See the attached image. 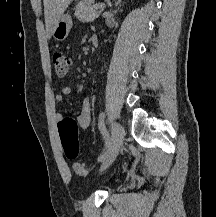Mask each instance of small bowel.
I'll return each instance as SVG.
<instances>
[{"label": "small bowel", "instance_id": "1", "mask_svg": "<svg viewBox=\"0 0 216 217\" xmlns=\"http://www.w3.org/2000/svg\"><path fill=\"white\" fill-rule=\"evenodd\" d=\"M71 94V88L67 85H63L60 88V92L54 97L55 104H61L64 100V96ZM55 122L60 125L61 121L64 119L61 113H56ZM91 123V100L90 98H85L81 105L80 114L77 117V124L82 130H87Z\"/></svg>", "mask_w": 216, "mask_h": 217}]
</instances>
